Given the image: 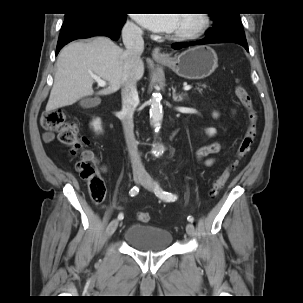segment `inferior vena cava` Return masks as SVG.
I'll return each mask as SVG.
<instances>
[{"label":"inferior vena cava","mask_w":303,"mask_h":303,"mask_svg":"<svg viewBox=\"0 0 303 303\" xmlns=\"http://www.w3.org/2000/svg\"><path fill=\"white\" fill-rule=\"evenodd\" d=\"M142 34V29L131 22L126 23L122 29V39L126 48L124 52V75L121 89L122 124L134 175L146 173L138 154L137 141L133 132V114L139 103L135 70L144 50Z\"/></svg>","instance_id":"602c4592"}]
</instances>
